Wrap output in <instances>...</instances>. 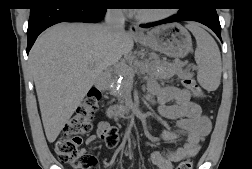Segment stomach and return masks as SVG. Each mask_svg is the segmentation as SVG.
<instances>
[{
  "label": "stomach",
  "instance_id": "1",
  "mask_svg": "<svg viewBox=\"0 0 252 169\" xmlns=\"http://www.w3.org/2000/svg\"><path fill=\"white\" fill-rule=\"evenodd\" d=\"M135 39L142 45L170 57H184L192 50L191 35L178 23L156 27L147 34L136 36Z\"/></svg>",
  "mask_w": 252,
  "mask_h": 169
}]
</instances>
